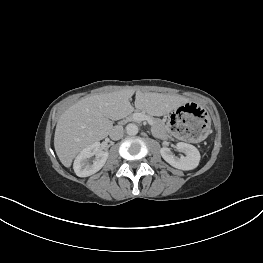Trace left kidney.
Returning <instances> with one entry per match:
<instances>
[{
  "instance_id": "left-kidney-1",
  "label": "left kidney",
  "mask_w": 263,
  "mask_h": 263,
  "mask_svg": "<svg viewBox=\"0 0 263 263\" xmlns=\"http://www.w3.org/2000/svg\"><path fill=\"white\" fill-rule=\"evenodd\" d=\"M176 148L182 150L185 156H175L168 147H163L160 150L162 158L171 166L181 170H192L199 165L201 156L195 146L184 142H178Z\"/></svg>"
}]
</instances>
